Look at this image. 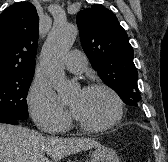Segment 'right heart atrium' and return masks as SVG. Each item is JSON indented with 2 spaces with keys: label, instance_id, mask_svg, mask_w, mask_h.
<instances>
[{
  "label": "right heart atrium",
  "instance_id": "obj_1",
  "mask_svg": "<svg viewBox=\"0 0 168 162\" xmlns=\"http://www.w3.org/2000/svg\"><path fill=\"white\" fill-rule=\"evenodd\" d=\"M27 104L34 123L41 131L58 133L68 126L70 121L68 112L46 83L34 81L28 94Z\"/></svg>",
  "mask_w": 168,
  "mask_h": 162
}]
</instances>
